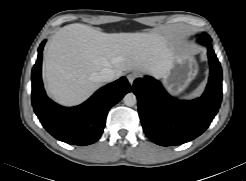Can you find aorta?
I'll use <instances>...</instances> for the list:
<instances>
[{
  "label": "aorta",
  "instance_id": "762f6f07",
  "mask_svg": "<svg viewBox=\"0 0 246 181\" xmlns=\"http://www.w3.org/2000/svg\"><path fill=\"white\" fill-rule=\"evenodd\" d=\"M126 106L132 107L137 103V98L134 93H127L123 98Z\"/></svg>",
  "mask_w": 246,
  "mask_h": 181
}]
</instances>
